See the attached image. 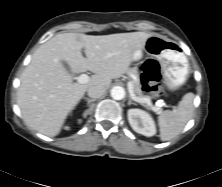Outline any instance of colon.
<instances>
[{"mask_svg":"<svg viewBox=\"0 0 222 187\" xmlns=\"http://www.w3.org/2000/svg\"><path fill=\"white\" fill-rule=\"evenodd\" d=\"M143 88L146 92L159 95L162 92L160 81V70L154 60H147L143 67Z\"/></svg>","mask_w":222,"mask_h":187,"instance_id":"obj_1","label":"colon"}]
</instances>
